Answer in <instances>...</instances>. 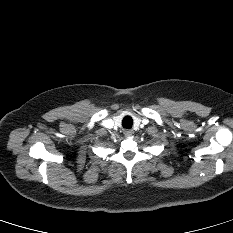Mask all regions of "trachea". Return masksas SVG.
I'll list each match as a JSON object with an SVG mask.
<instances>
[{
	"mask_svg": "<svg viewBox=\"0 0 233 233\" xmlns=\"http://www.w3.org/2000/svg\"><path fill=\"white\" fill-rule=\"evenodd\" d=\"M132 125H133V119L130 116H125L122 120V126L124 128L129 129L132 127Z\"/></svg>",
	"mask_w": 233,
	"mask_h": 233,
	"instance_id": "obj_1",
	"label": "trachea"
}]
</instances>
